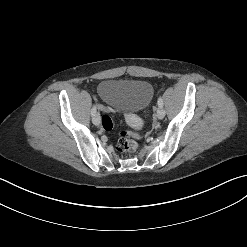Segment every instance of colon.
<instances>
[{
	"instance_id": "obj_1",
	"label": "colon",
	"mask_w": 247,
	"mask_h": 247,
	"mask_svg": "<svg viewBox=\"0 0 247 247\" xmlns=\"http://www.w3.org/2000/svg\"><path fill=\"white\" fill-rule=\"evenodd\" d=\"M102 127L106 131L113 130L114 121L112 117L108 114L103 115L102 117ZM146 131L142 133H130V132H120L119 138L116 144V149L122 153H133L138 148L137 138L142 134H145Z\"/></svg>"
}]
</instances>
